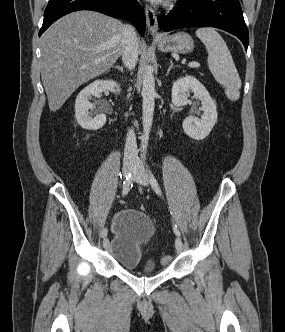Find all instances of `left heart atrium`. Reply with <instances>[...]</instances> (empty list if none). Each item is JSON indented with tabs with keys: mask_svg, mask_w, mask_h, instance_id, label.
Returning <instances> with one entry per match:
<instances>
[{
	"mask_svg": "<svg viewBox=\"0 0 285 332\" xmlns=\"http://www.w3.org/2000/svg\"><path fill=\"white\" fill-rule=\"evenodd\" d=\"M151 1H154V2H159V1H161V0H151Z\"/></svg>",
	"mask_w": 285,
	"mask_h": 332,
	"instance_id": "39dd6f15",
	"label": "left heart atrium"
}]
</instances>
